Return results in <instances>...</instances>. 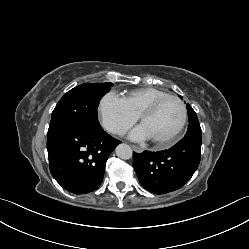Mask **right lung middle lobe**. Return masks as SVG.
Segmentation results:
<instances>
[{"label": "right lung middle lobe", "instance_id": "dd1d6c3e", "mask_svg": "<svg viewBox=\"0 0 249 249\" xmlns=\"http://www.w3.org/2000/svg\"><path fill=\"white\" fill-rule=\"evenodd\" d=\"M112 86V83H87L68 91L52 112L47 138L76 128L100 127L97 107Z\"/></svg>", "mask_w": 249, "mask_h": 249}]
</instances>
